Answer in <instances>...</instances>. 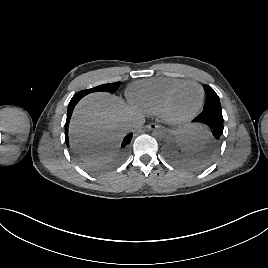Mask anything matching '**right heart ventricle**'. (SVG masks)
I'll use <instances>...</instances> for the list:
<instances>
[{
	"label": "right heart ventricle",
	"mask_w": 268,
	"mask_h": 268,
	"mask_svg": "<svg viewBox=\"0 0 268 268\" xmlns=\"http://www.w3.org/2000/svg\"><path fill=\"white\" fill-rule=\"evenodd\" d=\"M184 79L163 77L144 79L131 84L127 96L131 105L147 115L160 114L162 103L166 95Z\"/></svg>",
	"instance_id": "e07e8e85"
}]
</instances>
